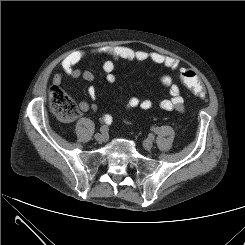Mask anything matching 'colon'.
Here are the masks:
<instances>
[{
	"mask_svg": "<svg viewBox=\"0 0 245 245\" xmlns=\"http://www.w3.org/2000/svg\"><path fill=\"white\" fill-rule=\"evenodd\" d=\"M180 78L183 84L195 95L204 98L206 91L199 75L191 69H182ZM49 104L52 112L61 120L69 122L79 115V108L76 102L62 89L53 87L49 92Z\"/></svg>",
	"mask_w": 245,
	"mask_h": 245,
	"instance_id": "obj_1",
	"label": "colon"
}]
</instances>
